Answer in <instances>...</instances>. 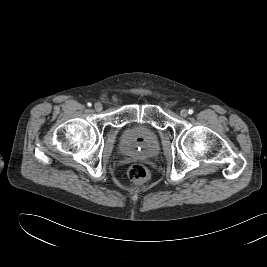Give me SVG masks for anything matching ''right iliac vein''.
<instances>
[{"mask_svg":"<svg viewBox=\"0 0 267 267\" xmlns=\"http://www.w3.org/2000/svg\"><path fill=\"white\" fill-rule=\"evenodd\" d=\"M94 108L97 112H100L103 109V105L100 102L95 103Z\"/></svg>","mask_w":267,"mask_h":267,"instance_id":"obj_1","label":"right iliac vein"}]
</instances>
